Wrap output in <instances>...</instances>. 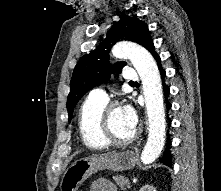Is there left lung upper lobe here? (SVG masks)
Returning <instances> with one entry per match:
<instances>
[{
  "instance_id": "obj_1",
  "label": "left lung upper lobe",
  "mask_w": 221,
  "mask_h": 191,
  "mask_svg": "<svg viewBox=\"0 0 221 191\" xmlns=\"http://www.w3.org/2000/svg\"><path fill=\"white\" fill-rule=\"evenodd\" d=\"M135 42L146 49L152 43L148 26L138 18L120 16L106 38L91 53L84 55L74 68L67 99L69 121L77 102L93 87L109 80L112 72L120 73L126 62L109 63V51L118 41Z\"/></svg>"
}]
</instances>
